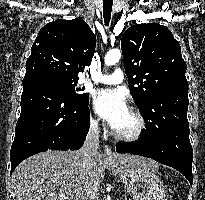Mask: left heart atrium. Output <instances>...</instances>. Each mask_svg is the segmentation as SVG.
<instances>
[{
  "label": "left heart atrium",
  "instance_id": "left-heart-atrium-1",
  "mask_svg": "<svg viewBox=\"0 0 205 200\" xmlns=\"http://www.w3.org/2000/svg\"><path fill=\"white\" fill-rule=\"evenodd\" d=\"M93 106L97 114L113 129L129 111L124 94L112 89L98 90L94 94Z\"/></svg>",
  "mask_w": 205,
  "mask_h": 200
}]
</instances>
